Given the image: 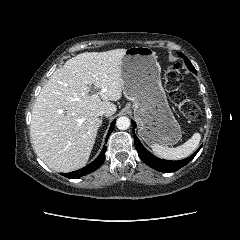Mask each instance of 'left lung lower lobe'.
I'll return each instance as SVG.
<instances>
[{
    "mask_svg": "<svg viewBox=\"0 0 240 240\" xmlns=\"http://www.w3.org/2000/svg\"><path fill=\"white\" fill-rule=\"evenodd\" d=\"M133 124V135L135 140V147L138 152L139 157L151 168L160 171V172H174L187 163H189L195 155L198 153L200 148L190 157L180 160V161H169V160H162L154 155H152L140 142V140L137 138V136L134 133V128L136 127V124L134 121H132Z\"/></svg>",
    "mask_w": 240,
    "mask_h": 240,
    "instance_id": "left-lung-lower-lobe-1",
    "label": "left lung lower lobe"
}]
</instances>
